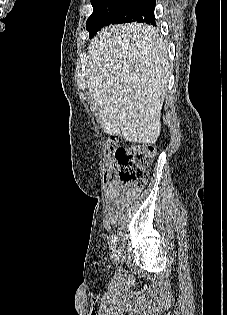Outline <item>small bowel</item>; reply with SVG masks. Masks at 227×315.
<instances>
[{"instance_id": "c3829d8e", "label": "small bowel", "mask_w": 227, "mask_h": 315, "mask_svg": "<svg viewBox=\"0 0 227 315\" xmlns=\"http://www.w3.org/2000/svg\"><path fill=\"white\" fill-rule=\"evenodd\" d=\"M139 190L132 188L128 185H122L115 182L109 187V195L113 202V205L118 208H127L137 197ZM115 215L112 214V218Z\"/></svg>"}]
</instances>
